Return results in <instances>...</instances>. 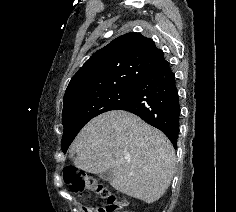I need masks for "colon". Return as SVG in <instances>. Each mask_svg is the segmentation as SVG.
Wrapping results in <instances>:
<instances>
[{
    "instance_id": "colon-1",
    "label": "colon",
    "mask_w": 236,
    "mask_h": 212,
    "mask_svg": "<svg viewBox=\"0 0 236 212\" xmlns=\"http://www.w3.org/2000/svg\"><path fill=\"white\" fill-rule=\"evenodd\" d=\"M64 180L74 194L79 196L86 193L95 194L106 201L105 207H91L86 212H123L127 206L125 200L119 199L92 176L74 167H67L64 170Z\"/></svg>"
}]
</instances>
